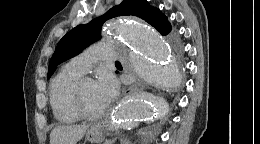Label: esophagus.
Here are the masks:
<instances>
[{
    "label": "esophagus",
    "mask_w": 260,
    "mask_h": 144,
    "mask_svg": "<svg viewBox=\"0 0 260 144\" xmlns=\"http://www.w3.org/2000/svg\"><path fill=\"white\" fill-rule=\"evenodd\" d=\"M141 83L139 81H134L133 84L129 85L122 93V96H128L132 92L136 91L138 89V86H140Z\"/></svg>",
    "instance_id": "obj_1"
}]
</instances>
